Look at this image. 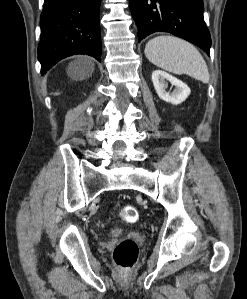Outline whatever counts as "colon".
Instances as JSON below:
<instances>
[{
  "instance_id": "1",
  "label": "colon",
  "mask_w": 247,
  "mask_h": 299,
  "mask_svg": "<svg viewBox=\"0 0 247 299\" xmlns=\"http://www.w3.org/2000/svg\"><path fill=\"white\" fill-rule=\"evenodd\" d=\"M120 217L128 223H133L138 219L137 209L131 205H126L120 210ZM138 257V245L135 240L125 238L121 240L113 251V259L117 266L123 270L131 269Z\"/></svg>"
}]
</instances>
